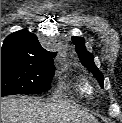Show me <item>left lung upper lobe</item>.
Returning <instances> with one entry per match:
<instances>
[{
    "mask_svg": "<svg viewBox=\"0 0 122 123\" xmlns=\"http://www.w3.org/2000/svg\"><path fill=\"white\" fill-rule=\"evenodd\" d=\"M72 41L82 64L93 73V76L98 80L100 86L103 87L104 77L94 64L93 56L87 51L84 40L80 37L73 36Z\"/></svg>",
    "mask_w": 122,
    "mask_h": 123,
    "instance_id": "obj_1",
    "label": "left lung upper lobe"
}]
</instances>
